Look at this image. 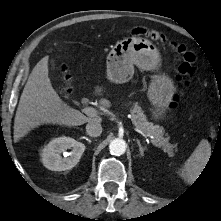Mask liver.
<instances>
[{
    "label": "liver",
    "mask_w": 221,
    "mask_h": 221,
    "mask_svg": "<svg viewBox=\"0 0 221 221\" xmlns=\"http://www.w3.org/2000/svg\"><path fill=\"white\" fill-rule=\"evenodd\" d=\"M48 58L45 56L36 64L21 94L14 119L15 141L43 124L78 126L101 121L99 117H86L62 101L48 77ZM100 104L105 108L110 107L106 99H101Z\"/></svg>",
    "instance_id": "1"
}]
</instances>
